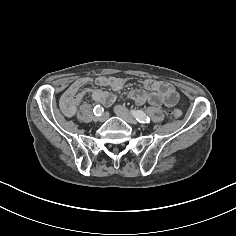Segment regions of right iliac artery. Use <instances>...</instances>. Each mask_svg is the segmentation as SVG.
<instances>
[{"instance_id": "1", "label": "right iliac artery", "mask_w": 236, "mask_h": 236, "mask_svg": "<svg viewBox=\"0 0 236 236\" xmlns=\"http://www.w3.org/2000/svg\"><path fill=\"white\" fill-rule=\"evenodd\" d=\"M93 111H94V114H95L96 116H101V115L103 114V112H104V109H103L102 106L96 105V106L94 107Z\"/></svg>"}]
</instances>
